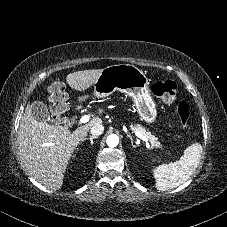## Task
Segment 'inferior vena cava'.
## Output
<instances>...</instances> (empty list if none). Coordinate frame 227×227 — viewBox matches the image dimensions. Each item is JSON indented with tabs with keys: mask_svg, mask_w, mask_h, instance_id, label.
<instances>
[{
	"mask_svg": "<svg viewBox=\"0 0 227 227\" xmlns=\"http://www.w3.org/2000/svg\"><path fill=\"white\" fill-rule=\"evenodd\" d=\"M103 131H104V126L102 125V123L95 124L90 129V133L94 136L101 135Z\"/></svg>",
	"mask_w": 227,
	"mask_h": 227,
	"instance_id": "inferior-vena-cava-1",
	"label": "inferior vena cava"
}]
</instances>
